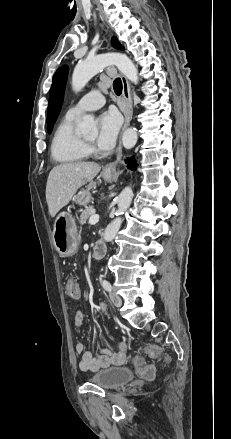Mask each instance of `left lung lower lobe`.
<instances>
[{"instance_id": "left-lung-lower-lobe-1", "label": "left lung lower lobe", "mask_w": 231, "mask_h": 439, "mask_svg": "<svg viewBox=\"0 0 231 439\" xmlns=\"http://www.w3.org/2000/svg\"><path fill=\"white\" fill-rule=\"evenodd\" d=\"M125 163L127 164L128 169L136 170V161L134 158L127 159Z\"/></svg>"}]
</instances>
